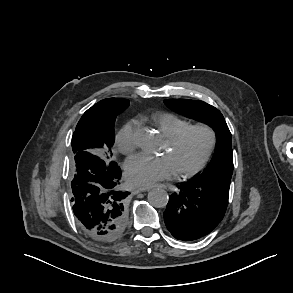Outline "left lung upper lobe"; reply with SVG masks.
I'll return each instance as SVG.
<instances>
[{
  "label": "left lung upper lobe",
  "instance_id": "left-lung-upper-lobe-1",
  "mask_svg": "<svg viewBox=\"0 0 293 293\" xmlns=\"http://www.w3.org/2000/svg\"><path fill=\"white\" fill-rule=\"evenodd\" d=\"M165 104L173 111L206 123L216 134V150L208 168L196 179L203 181H231L233 173V151L230 130L221 112L215 107L197 100L168 99Z\"/></svg>",
  "mask_w": 293,
  "mask_h": 293
}]
</instances>
